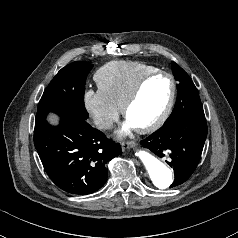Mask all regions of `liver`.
<instances>
[{
	"label": "liver",
	"instance_id": "liver-1",
	"mask_svg": "<svg viewBox=\"0 0 238 238\" xmlns=\"http://www.w3.org/2000/svg\"><path fill=\"white\" fill-rule=\"evenodd\" d=\"M49 122L51 124H57L58 123V118L54 115H51L50 118H49Z\"/></svg>",
	"mask_w": 238,
	"mask_h": 238
}]
</instances>
